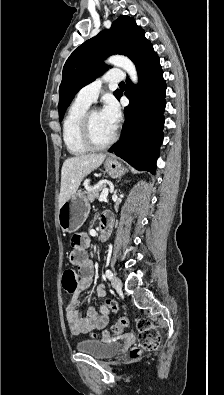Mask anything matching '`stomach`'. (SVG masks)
<instances>
[{
	"label": "stomach",
	"instance_id": "obj_1",
	"mask_svg": "<svg viewBox=\"0 0 224 395\" xmlns=\"http://www.w3.org/2000/svg\"><path fill=\"white\" fill-rule=\"evenodd\" d=\"M105 171L113 178L122 176L126 168L116 159H107ZM90 211L87 197L81 191L71 196L58 210V223L65 232L77 231L85 222Z\"/></svg>",
	"mask_w": 224,
	"mask_h": 395
}]
</instances>
